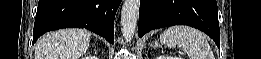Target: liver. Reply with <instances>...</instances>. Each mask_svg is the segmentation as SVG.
<instances>
[{"label": "liver", "instance_id": "liver-1", "mask_svg": "<svg viewBox=\"0 0 261 59\" xmlns=\"http://www.w3.org/2000/svg\"><path fill=\"white\" fill-rule=\"evenodd\" d=\"M90 43L85 29H63L44 34L36 43L35 59H79Z\"/></svg>", "mask_w": 261, "mask_h": 59}]
</instances>
